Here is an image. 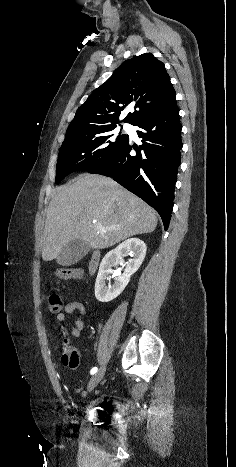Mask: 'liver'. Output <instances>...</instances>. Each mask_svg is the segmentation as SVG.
Masks as SVG:
<instances>
[{
    "label": "liver",
    "instance_id": "1",
    "mask_svg": "<svg viewBox=\"0 0 236 467\" xmlns=\"http://www.w3.org/2000/svg\"><path fill=\"white\" fill-rule=\"evenodd\" d=\"M156 226L155 211L142 199L111 178L84 173L54 192L45 220L42 259H56L74 239L104 249L153 232Z\"/></svg>",
    "mask_w": 236,
    "mask_h": 467
}]
</instances>
